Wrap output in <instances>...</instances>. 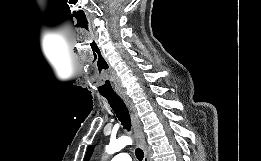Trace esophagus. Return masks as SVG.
Masks as SVG:
<instances>
[{
  "label": "esophagus",
  "instance_id": "obj_1",
  "mask_svg": "<svg viewBox=\"0 0 261 161\" xmlns=\"http://www.w3.org/2000/svg\"><path fill=\"white\" fill-rule=\"evenodd\" d=\"M119 96L121 97V99L123 100V102L125 103V105L127 106L128 110L130 112L136 141H137L138 145L145 152L144 161H149L146 150H145V145H146L145 135L143 133L142 125L139 120L137 110H136L135 106L133 105L132 101L128 98V96L126 94L120 93Z\"/></svg>",
  "mask_w": 261,
  "mask_h": 161
}]
</instances>
